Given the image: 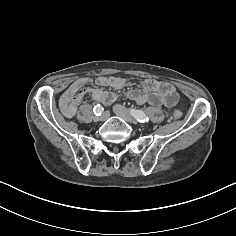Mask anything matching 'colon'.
<instances>
[{
    "instance_id": "5ec220e1",
    "label": "colon",
    "mask_w": 236,
    "mask_h": 236,
    "mask_svg": "<svg viewBox=\"0 0 236 236\" xmlns=\"http://www.w3.org/2000/svg\"><path fill=\"white\" fill-rule=\"evenodd\" d=\"M180 116H181V113H180L179 110H174V111L171 112V118H172L173 120L179 119Z\"/></svg>"
}]
</instances>
